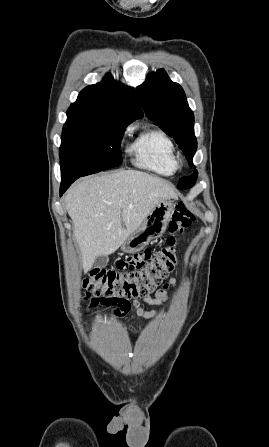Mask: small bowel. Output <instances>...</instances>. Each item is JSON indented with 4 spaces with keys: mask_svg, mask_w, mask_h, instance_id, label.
<instances>
[{
    "mask_svg": "<svg viewBox=\"0 0 269 447\" xmlns=\"http://www.w3.org/2000/svg\"><path fill=\"white\" fill-rule=\"evenodd\" d=\"M176 282H177L176 279L174 277L170 276L168 278V281L166 283L165 288L161 289V290H158L156 292V295H155L154 298L147 296V297H143L141 299H136V300H134L131 303L132 308L139 315H142V316H145V317H148V318L155 317L157 315V312L156 311L144 310L141 307V305H140L141 301H144V302H146V303H148L150 305H154V306H162V305H164L170 299V296L168 295L167 291L169 289L173 290L175 288V286H176Z\"/></svg>",
    "mask_w": 269,
    "mask_h": 447,
    "instance_id": "small-bowel-1",
    "label": "small bowel"
}]
</instances>
